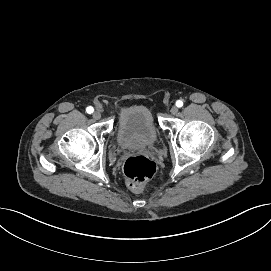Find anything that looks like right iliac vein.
<instances>
[{
	"instance_id": "right-iliac-vein-1",
	"label": "right iliac vein",
	"mask_w": 271,
	"mask_h": 271,
	"mask_svg": "<svg viewBox=\"0 0 271 271\" xmlns=\"http://www.w3.org/2000/svg\"><path fill=\"white\" fill-rule=\"evenodd\" d=\"M92 117H93L94 119L98 120V119L101 118V114H100V112L95 111V112L92 113Z\"/></svg>"
}]
</instances>
